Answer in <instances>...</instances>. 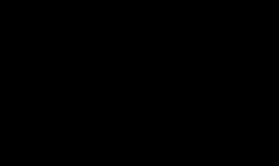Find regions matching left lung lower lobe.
Listing matches in <instances>:
<instances>
[{
    "label": "left lung lower lobe",
    "instance_id": "obj_1",
    "mask_svg": "<svg viewBox=\"0 0 279 166\" xmlns=\"http://www.w3.org/2000/svg\"><path fill=\"white\" fill-rule=\"evenodd\" d=\"M150 98L161 126L191 139L218 126L230 111L239 60L227 38L203 23H186L147 54Z\"/></svg>",
    "mask_w": 279,
    "mask_h": 166
}]
</instances>
